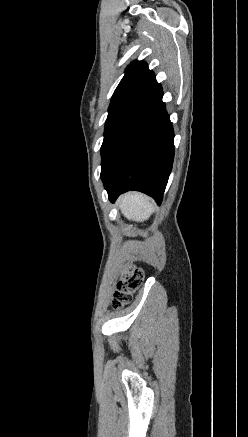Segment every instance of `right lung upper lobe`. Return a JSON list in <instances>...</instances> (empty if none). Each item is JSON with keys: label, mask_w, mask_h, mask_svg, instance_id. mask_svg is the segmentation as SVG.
I'll return each instance as SVG.
<instances>
[{"label": "right lung upper lobe", "mask_w": 248, "mask_h": 437, "mask_svg": "<svg viewBox=\"0 0 248 437\" xmlns=\"http://www.w3.org/2000/svg\"><path fill=\"white\" fill-rule=\"evenodd\" d=\"M155 81L154 73L148 69L146 62L134 61L125 71V75L117 86L112 100L120 97L141 92Z\"/></svg>", "instance_id": "obj_1"}]
</instances>
